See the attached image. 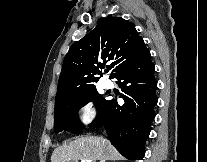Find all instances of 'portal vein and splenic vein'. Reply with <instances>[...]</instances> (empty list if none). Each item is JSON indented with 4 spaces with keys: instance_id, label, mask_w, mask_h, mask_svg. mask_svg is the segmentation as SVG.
<instances>
[{
    "instance_id": "obj_1",
    "label": "portal vein and splenic vein",
    "mask_w": 207,
    "mask_h": 162,
    "mask_svg": "<svg viewBox=\"0 0 207 162\" xmlns=\"http://www.w3.org/2000/svg\"><path fill=\"white\" fill-rule=\"evenodd\" d=\"M81 162H92L91 160H81Z\"/></svg>"
}]
</instances>
